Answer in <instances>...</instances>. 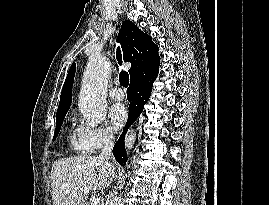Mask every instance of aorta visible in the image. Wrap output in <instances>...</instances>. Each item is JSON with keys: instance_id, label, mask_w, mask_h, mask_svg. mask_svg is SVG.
Instances as JSON below:
<instances>
[{"instance_id": "aorta-1", "label": "aorta", "mask_w": 269, "mask_h": 205, "mask_svg": "<svg viewBox=\"0 0 269 205\" xmlns=\"http://www.w3.org/2000/svg\"><path fill=\"white\" fill-rule=\"evenodd\" d=\"M111 66L104 56H91L86 66L82 87L79 95L78 106L89 126H97L106 118V88ZM135 132L131 129L125 139L128 150L133 148ZM110 205H123L119 195L110 200Z\"/></svg>"}]
</instances>
